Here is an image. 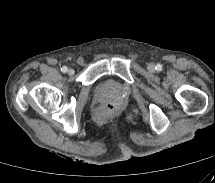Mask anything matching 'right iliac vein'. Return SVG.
I'll use <instances>...</instances> for the list:
<instances>
[{
	"label": "right iliac vein",
	"instance_id": "63e3f726",
	"mask_svg": "<svg viewBox=\"0 0 215 183\" xmlns=\"http://www.w3.org/2000/svg\"><path fill=\"white\" fill-rule=\"evenodd\" d=\"M74 73H75L74 69H69V70H68V74H69L70 76L74 75Z\"/></svg>",
	"mask_w": 215,
	"mask_h": 183
}]
</instances>
